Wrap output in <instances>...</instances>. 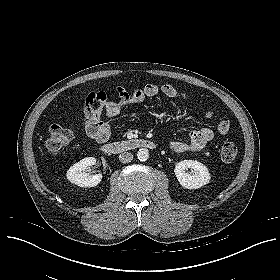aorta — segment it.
Segmentation results:
<instances>
[{"mask_svg": "<svg viewBox=\"0 0 280 280\" xmlns=\"http://www.w3.org/2000/svg\"><path fill=\"white\" fill-rule=\"evenodd\" d=\"M137 158L140 161H146L149 158V151L146 148H141L137 152Z\"/></svg>", "mask_w": 280, "mask_h": 280, "instance_id": "obj_1", "label": "aorta"}]
</instances>
